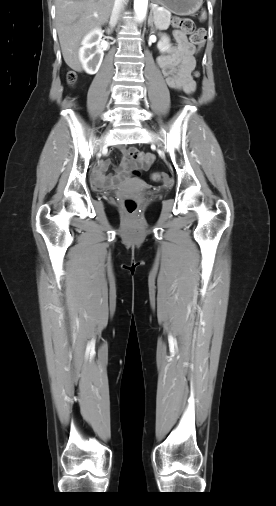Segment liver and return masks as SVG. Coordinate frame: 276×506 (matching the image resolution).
Listing matches in <instances>:
<instances>
[{"mask_svg": "<svg viewBox=\"0 0 276 506\" xmlns=\"http://www.w3.org/2000/svg\"><path fill=\"white\" fill-rule=\"evenodd\" d=\"M113 5L114 0H56L57 33L64 61L71 69L81 71V39L108 21Z\"/></svg>", "mask_w": 276, "mask_h": 506, "instance_id": "liver-1", "label": "liver"}]
</instances>
